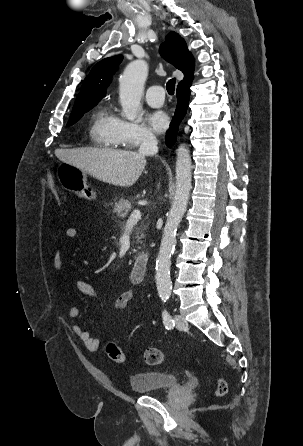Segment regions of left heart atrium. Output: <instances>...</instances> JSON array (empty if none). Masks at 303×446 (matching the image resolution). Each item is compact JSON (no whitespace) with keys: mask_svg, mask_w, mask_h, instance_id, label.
Segmentation results:
<instances>
[{"mask_svg":"<svg viewBox=\"0 0 303 446\" xmlns=\"http://www.w3.org/2000/svg\"><path fill=\"white\" fill-rule=\"evenodd\" d=\"M147 119L151 128L158 133H162L168 128L169 118L163 111H153L148 115Z\"/></svg>","mask_w":303,"mask_h":446,"instance_id":"39dd6f15","label":"left heart atrium"}]
</instances>
